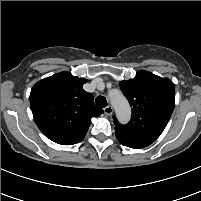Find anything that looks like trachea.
Returning <instances> with one entry per match:
<instances>
[{
    "label": "trachea",
    "mask_w": 201,
    "mask_h": 201,
    "mask_svg": "<svg viewBox=\"0 0 201 201\" xmlns=\"http://www.w3.org/2000/svg\"><path fill=\"white\" fill-rule=\"evenodd\" d=\"M95 102H96V105L100 108H104L107 106L106 98L104 96H98Z\"/></svg>",
    "instance_id": "obj_1"
}]
</instances>
